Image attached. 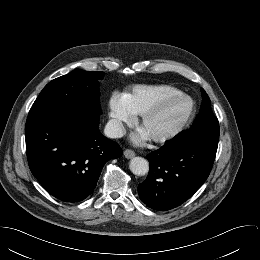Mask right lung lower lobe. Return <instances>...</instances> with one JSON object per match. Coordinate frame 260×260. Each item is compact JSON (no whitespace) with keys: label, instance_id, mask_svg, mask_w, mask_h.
<instances>
[{"label":"right lung lower lobe","instance_id":"1","mask_svg":"<svg viewBox=\"0 0 260 260\" xmlns=\"http://www.w3.org/2000/svg\"><path fill=\"white\" fill-rule=\"evenodd\" d=\"M100 112L78 107L31 108L25 126L32 174L55 198L80 202L94 191L104 164L122 149L99 131Z\"/></svg>","mask_w":260,"mask_h":260}]
</instances>
